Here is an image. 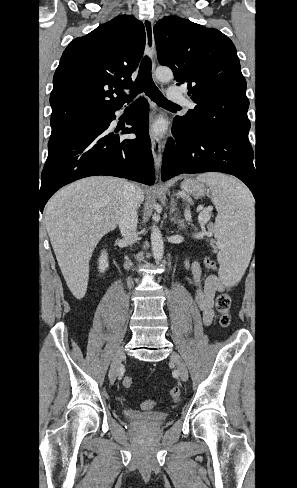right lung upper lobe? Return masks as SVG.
Masks as SVG:
<instances>
[{
    "mask_svg": "<svg viewBox=\"0 0 297 488\" xmlns=\"http://www.w3.org/2000/svg\"><path fill=\"white\" fill-rule=\"evenodd\" d=\"M144 25L118 16L65 49L50 95L52 133L99 120L127 101L123 90L132 85L145 48ZM117 94V97L113 96Z\"/></svg>",
    "mask_w": 297,
    "mask_h": 488,
    "instance_id": "1",
    "label": "right lung upper lobe"
}]
</instances>
